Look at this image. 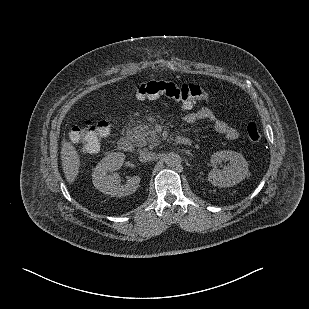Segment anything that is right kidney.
Segmentation results:
<instances>
[{
  "instance_id": "right-kidney-1",
  "label": "right kidney",
  "mask_w": 309,
  "mask_h": 309,
  "mask_svg": "<svg viewBox=\"0 0 309 309\" xmlns=\"http://www.w3.org/2000/svg\"><path fill=\"white\" fill-rule=\"evenodd\" d=\"M125 160L124 153L117 152L103 158L93 172V184L102 193L113 197L131 195L136 192L140 183V176L128 177L122 184L120 176L115 173L121 168Z\"/></svg>"
}]
</instances>
